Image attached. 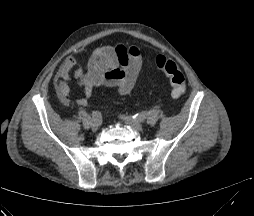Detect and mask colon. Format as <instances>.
<instances>
[{"label": "colon", "mask_w": 254, "mask_h": 216, "mask_svg": "<svg viewBox=\"0 0 254 216\" xmlns=\"http://www.w3.org/2000/svg\"><path fill=\"white\" fill-rule=\"evenodd\" d=\"M148 64L155 65L168 78L173 98H179L185 93V77L174 61L164 56H157L154 60L148 61Z\"/></svg>", "instance_id": "obj_1"}]
</instances>
